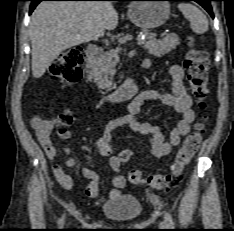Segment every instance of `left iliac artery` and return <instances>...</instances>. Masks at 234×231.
Returning <instances> with one entry per match:
<instances>
[{"mask_svg":"<svg viewBox=\"0 0 234 231\" xmlns=\"http://www.w3.org/2000/svg\"><path fill=\"white\" fill-rule=\"evenodd\" d=\"M165 222H166L167 228H169V229L174 228V222H173L172 217L169 213H165Z\"/></svg>","mask_w":234,"mask_h":231,"instance_id":"1","label":"left iliac artery"}]
</instances>
